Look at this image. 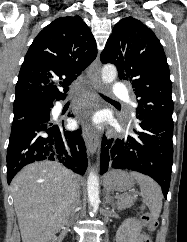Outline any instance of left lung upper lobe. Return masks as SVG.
I'll return each instance as SVG.
<instances>
[{"label":"left lung upper lobe","instance_id":"5c2ea615","mask_svg":"<svg viewBox=\"0 0 187 242\" xmlns=\"http://www.w3.org/2000/svg\"><path fill=\"white\" fill-rule=\"evenodd\" d=\"M102 63L117 67L120 80H130L138 98V119L173 123L171 80L163 47L153 31L132 17L113 28Z\"/></svg>","mask_w":187,"mask_h":242}]
</instances>
